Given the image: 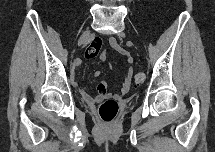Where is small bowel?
<instances>
[{"label":"small bowel","mask_w":215,"mask_h":152,"mask_svg":"<svg viewBox=\"0 0 215 152\" xmlns=\"http://www.w3.org/2000/svg\"><path fill=\"white\" fill-rule=\"evenodd\" d=\"M109 44L114 51L118 52L125 58L128 65L132 64V62H133L132 55L130 54L129 51H127L126 49L121 47L115 38H110ZM106 57H107L106 53L103 52L102 59H106ZM79 64H80V61L78 60L76 62V65H79ZM99 75H100L99 71L94 72L95 77H98ZM71 77H72V80L74 81L73 74ZM130 84H131V68L129 67L127 70V73L125 75V78L123 80V83L121 86V91H120V94L118 95V97H122L129 92ZM97 91H98V94L96 96H92L83 88H79V92H80L81 96L83 97V99L90 104H94V103L98 102L99 100H101L102 98L107 96V83L105 81H100L97 84Z\"/></svg>","instance_id":"obj_1"}]
</instances>
